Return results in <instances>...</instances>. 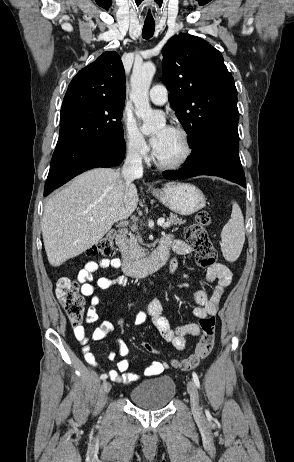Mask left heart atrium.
<instances>
[{"label":"left heart atrium","instance_id":"left-heart-atrium-1","mask_svg":"<svg viewBox=\"0 0 294 462\" xmlns=\"http://www.w3.org/2000/svg\"><path fill=\"white\" fill-rule=\"evenodd\" d=\"M169 130H171L170 127H164L152 137L151 143L155 152L160 148L162 141L166 134L169 132Z\"/></svg>","mask_w":294,"mask_h":462}]
</instances>
